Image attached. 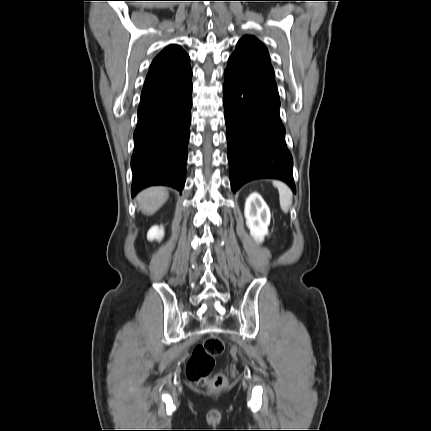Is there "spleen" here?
Here are the masks:
<instances>
[{
    "label": "spleen",
    "mask_w": 431,
    "mask_h": 431,
    "mask_svg": "<svg viewBox=\"0 0 431 431\" xmlns=\"http://www.w3.org/2000/svg\"><path fill=\"white\" fill-rule=\"evenodd\" d=\"M273 185L279 191L280 207L283 212L287 213L292 204V191L286 184L280 181H273Z\"/></svg>",
    "instance_id": "1"
}]
</instances>
